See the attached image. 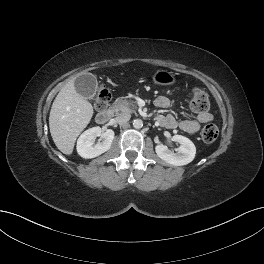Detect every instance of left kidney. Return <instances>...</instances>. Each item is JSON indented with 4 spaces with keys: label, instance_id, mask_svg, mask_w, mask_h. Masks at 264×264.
Instances as JSON below:
<instances>
[{
    "label": "left kidney",
    "instance_id": "obj_1",
    "mask_svg": "<svg viewBox=\"0 0 264 264\" xmlns=\"http://www.w3.org/2000/svg\"><path fill=\"white\" fill-rule=\"evenodd\" d=\"M173 140L180 144L176 152L171 151L166 145L159 144L155 147L158 157L174 166H183L192 162L196 154L194 143L182 135H174Z\"/></svg>",
    "mask_w": 264,
    "mask_h": 264
}]
</instances>
